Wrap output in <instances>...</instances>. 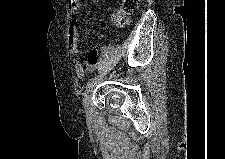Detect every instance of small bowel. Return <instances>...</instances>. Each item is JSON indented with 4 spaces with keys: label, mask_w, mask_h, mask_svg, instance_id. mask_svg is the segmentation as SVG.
I'll use <instances>...</instances> for the list:
<instances>
[{
    "label": "small bowel",
    "mask_w": 225,
    "mask_h": 159,
    "mask_svg": "<svg viewBox=\"0 0 225 159\" xmlns=\"http://www.w3.org/2000/svg\"><path fill=\"white\" fill-rule=\"evenodd\" d=\"M82 8L81 3L72 4L70 7V17L68 22L67 43L69 49L75 54H81L84 51L83 47H80L79 32L75 22V14ZM98 65V48H93L88 55L87 62H75L74 71L78 78H83L87 72H91Z\"/></svg>",
    "instance_id": "1"
}]
</instances>
